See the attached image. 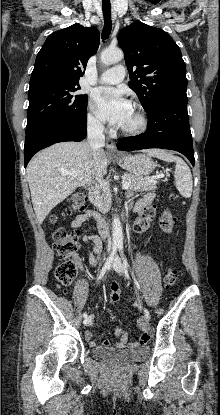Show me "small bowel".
Listing matches in <instances>:
<instances>
[{
    "mask_svg": "<svg viewBox=\"0 0 220 415\" xmlns=\"http://www.w3.org/2000/svg\"><path fill=\"white\" fill-rule=\"evenodd\" d=\"M154 199L153 193H147L144 195L142 199L136 202V204L133 207V210L139 214V217L135 221L133 225V230L135 233H142L143 231L147 230L151 224L153 217H144L143 216V210L145 207L149 206ZM90 218H95L97 221L100 219V216L97 212L94 210L88 209L82 214L78 215L75 220L72 222L71 227L73 230L78 234V230L80 227H82ZM82 241L84 243L89 244L88 248V261L91 265H96L98 262V258L102 253L103 250V244L100 239V237L97 234L94 235H86L82 238ZM112 292L121 293V284L119 282H114L112 284ZM140 330L142 331V335L144 333H148V328L146 326V323L144 320L139 321ZM114 335L119 337V340L116 342L115 347L117 349H123V348H137L143 344H145L147 340H144L142 338V335L139 340L137 341H129V335L126 331H124L121 328H115L113 330ZM85 338L86 340L90 341L89 344L91 347H98L99 345L92 340L93 333L91 331L85 332ZM102 346L109 347L110 342L105 341Z\"/></svg>",
    "mask_w": 220,
    "mask_h": 415,
    "instance_id": "obj_1",
    "label": "small bowel"
}]
</instances>
